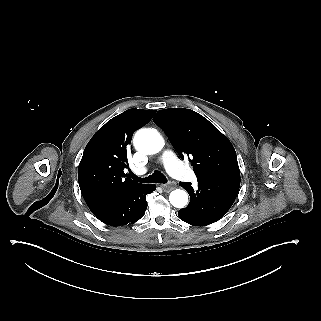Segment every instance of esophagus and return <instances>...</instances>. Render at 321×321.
Instances as JSON below:
<instances>
[{
	"instance_id": "obj_1",
	"label": "esophagus",
	"mask_w": 321,
	"mask_h": 321,
	"mask_svg": "<svg viewBox=\"0 0 321 321\" xmlns=\"http://www.w3.org/2000/svg\"><path fill=\"white\" fill-rule=\"evenodd\" d=\"M175 187V184L171 183V184H163L161 185V188L164 192H170L171 190H173Z\"/></svg>"
}]
</instances>
